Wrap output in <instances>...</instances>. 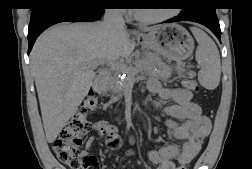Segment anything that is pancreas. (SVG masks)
<instances>
[{
  "label": "pancreas",
  "mask_w": 252,
  "mask_h": 169,
  "mask_svg": "<svg viewBox=\"0 0 252 169\" xmlns=\"http://www.w3.org/2000/svg\"><path fill=\"white\" fill-rule=\"evenodd\" d=\"M159 68V71H154L155 68ZM180 64H177L176 68L178 69ZM130 74L132 76L137 74H144V75H154L159 77L162 80H168L172 74V67L164 63L156 54L149 53L144 58L137 60L133 64L127 66ZM116 71V70H115ZM121 71H116L110 76H108L104 82V88H110L115 82L119 80L118 74Z\"/></svg>",
  "instance_id": "obj_1"
}]
</instances>
